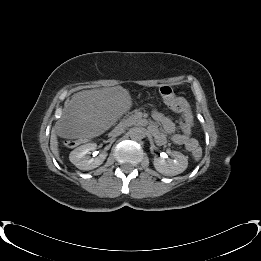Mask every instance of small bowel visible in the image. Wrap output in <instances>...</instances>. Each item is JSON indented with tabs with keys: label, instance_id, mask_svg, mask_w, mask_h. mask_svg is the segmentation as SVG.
<instances>
[{
	"label": "small bowel",
	"instance_id": "small-bowel-1",
	"mask_svg": "<svg viewBox=\"0 0 261 261\" xmlns=\"http://www.w3.org/2000/svg\"><path fill=\"white\" fill-rule=\"evenodd\" d=\"M153 118L155 119V121H157L158 123L162 124L164 127L169 128L171 127V122L165 118L161 113L154 111L153 112ZM188 132V130H186ZM158 140H161L162 137L159 135L157 136ZM174 140L178 141V142H187V139L181 136H174Z\"/></svg>",
	"mask_w": 261,
	"mask_h": 261
}]
</instances>
